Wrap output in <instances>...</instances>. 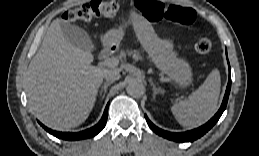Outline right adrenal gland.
Wrapping results in <instances>:
<instances>
[{
    "label": "right adrenal gland",
    "mask_w": 259,
    "mask_h": 156,
    "mask_svg": "<svg viewBox=\"0 0 259 156\" xmlns=\"http://www.w3.org/2000/svg\"><path fill=\"white\" fill-rule=\"evenodd\" d=\"M110 84H112L111 81H109V82H104L103 86L101 87V90H100V92H99L100 95L104 92V94H103V96H102V99H104V96H105V94H106V92H107V88H108V86H109Z\"/></svg>",
    "instance_id": "2a0ac1e0"
}]
</instances>
